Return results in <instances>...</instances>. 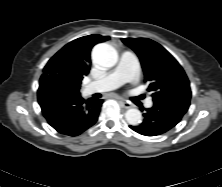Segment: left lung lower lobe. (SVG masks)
<instances>
[{
  "label": "left lung lower lobe",
  "mask_w": 222,
  "mask_h": 187,
  "mask_svg": "<svg viewBox=\"0 0 222 187\" xmlns=\"http://www.w3.org/2000/svg\"><path fill=\"white\" fill-rule=\"evenodd\" d=\"M191 94L178 93L154 99L152 108L147 109L142 124L130 126L145 136H158L175 127L190 105Z\"/></svg>",
  "instance_id": "0a47b994"
}]
</instances>
